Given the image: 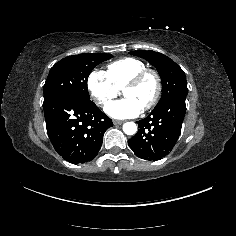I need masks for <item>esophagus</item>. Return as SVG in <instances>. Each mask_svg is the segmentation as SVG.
Returning a JSON list of instances; mask_svg holds the SVG:
<instances>
[{
  "instance_id": "1",
  "label": "esophagus",
  "mask_w": 236,
  "mask_h": 236,
  "mask_svg": "<svg viewBox=\"0 0 236 236\" xmlns=\"http://www.w3.org/2000/svg\"><path fill=\"white\" fill-rule=\"evenodd\" d=\"M123 123H124V121H122V120H113L114 125H120V124H123Z\"/></svg>"
}]
</instances>
